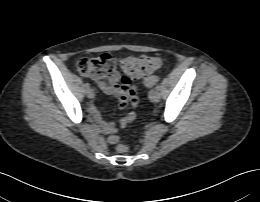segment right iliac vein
<instances>
[{"label":"right iliac vein","instance_id":"1","mask_svg":"<svg viewBox=\"0 0 260 202\" xmlns=\"http://www.w3.org/2000/svg\"><path fill=\"white\" fill-rule=\"evenodd\" d=\"M86 94H87V97H88V98H93V97H94V92H93L92 89H88L87 92H86Z\"/></svg>","mask_w":260,"mask_h":202}]
</instances>
